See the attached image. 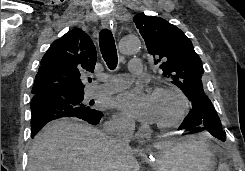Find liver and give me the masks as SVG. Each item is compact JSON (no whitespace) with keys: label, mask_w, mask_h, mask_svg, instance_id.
Here are the masks:
<instances>
[{"label":"liver","mask_w":245,"mask_h":171,"mask_svg":"<svg viewBox=\"0 0 245 171\" xmlns=\"http://www.w3.org/2000/svg\"><path fill=\"white\" fill-rule=\"evenodd\" d=\"M171 141L155 143L161 149ZM136 151L117 148L98 129L67 119L46 125L34 139L27 171H140Z\"/></svg>","instance_id":"6515ba94"}]
</instances>
